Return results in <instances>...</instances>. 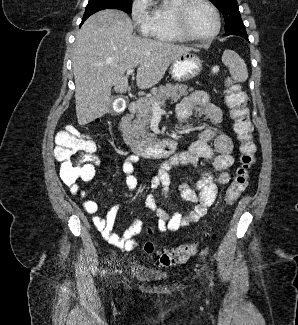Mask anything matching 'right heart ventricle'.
Returning a JSON list of instances; mask_svg holds the SVG:
<instances>
[{"label":"right heart ventricle","instance_id":"1","mask_svg":"<svg viewBox=\"0 0 298 325\" xmlns=\"http://www.w3.org/2000/svg\"><path fill=\"white\" fill-rule=\"evenodd\" d=\"M174 0H164L154 4L152 8V22L162 30V41H177L182 43L185 40L177 36L171 27V4Z\"/></svg>","mask_w":298,"mask_h":325}]
</instances>
